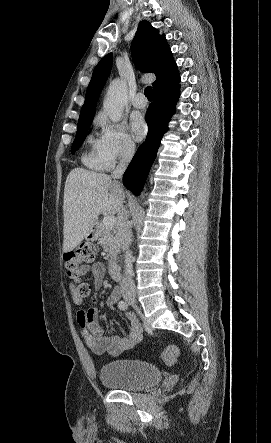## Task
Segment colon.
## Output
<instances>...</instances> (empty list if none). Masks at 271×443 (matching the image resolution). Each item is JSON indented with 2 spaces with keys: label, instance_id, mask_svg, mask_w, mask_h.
I'll use <instances>...</instances> for the list:
<instances>
[{
  "label": "colon",
  "instance_id": "obj_1",
  "mask_svg": "<svg viewBox=\"0 0 271 443\" xmlns=\"http://www.w3.org/2000/svg\"><path fill=\"white\" fill-rule=\"evenodd\" d=\"M95 258L93 247L89 243H82L75 249L64 253L63 259L65 262L68 276L74 281L78 282L77 292L80 296L86 297L91 292V287L87 283L79 281V267L91 263ZM179 355V349L176 345H169L161 354L162 361L167 365H172Z\"/></svg>",
  "mask_w": 271,
  "mask_h": 443
}]
</instances>
